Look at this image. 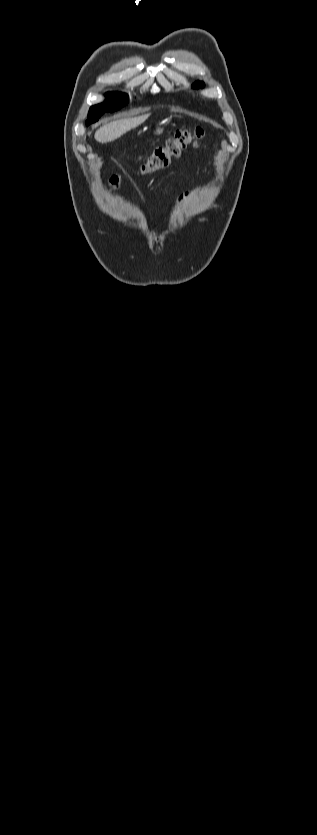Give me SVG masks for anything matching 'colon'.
Here are the masks:
<instances>
[{"label": "colon", "mask_w": 317, "mask_h": 835, "mask_svg": "<svg viewBox=\"0 0 317 835\" xmlns=\"http://www.w3.org/2000/svg\"><path fill=\"white\" fill-rule=\"evenodd\" d=\"M204 136L202 128L194 130H178L165 145L157 146L147 160L140 166L139 174H151L165 168L172 158L177 157L187 146H196ZM121 176L114 175L110 179L113 187H118Z\"/></svg>", "instance_id": "5ec220e1"}]
</instances>
